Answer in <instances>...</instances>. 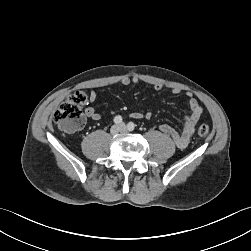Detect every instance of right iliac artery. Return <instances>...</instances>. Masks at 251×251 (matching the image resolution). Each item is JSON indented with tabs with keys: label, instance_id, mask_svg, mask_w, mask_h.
<instances>
[{
	"label": "right iliac artery",
	"instance_id": "obj_1",
	"mask_svg": "<svg viewBox=\"0 0 251 251\" xmlns=\"http://www.w3.org/2000/svg\"><path fill=\"white\" fill-rule=\"evenodd\" d=\"M114 123L116 124L122 123V117L120 115L115 116Z\"/></svg>",
	"mask_w": 251,
	"mask_h": 251
}]
</instances>
